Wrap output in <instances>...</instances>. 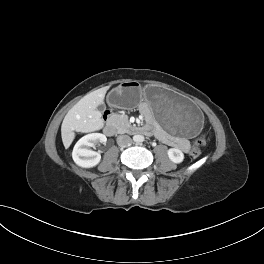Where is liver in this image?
I'll return each mask as SVG.
<instances>
[{"label": "liver", "instance_id": "1", "mask_svg": "<svg viewBox=\"0 0 264 264\" xmlns=\"http://www.w3.org/2000/svg\"><path fill=\"white\" fill-rule=\"evenodd\" d=\"M107 87L93 91L79 100L66 114L62 126L61 136L67 149L75 138V133H88L103 127L102 114L97 107L103 103Z\"/></svg>", "mask_w": 264, "mask_h": 264}]
</instances>
